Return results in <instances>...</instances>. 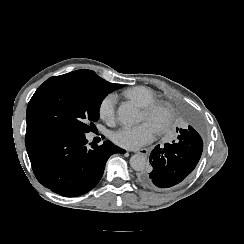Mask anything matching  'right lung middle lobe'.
<instances>
[{"label":"right lung middle lobe","mask_w":244,"mask_h":244,"mask_svg":"<svg viewBox=\"0 0 244 244\" xmlns=\"http://www.w3.org/2000/svg\"><path fill=\"white\" fill-rule=\"evenodd\" d=\"M119 84H110L91 70L51 77L34 93L27 107V128L43 127L85 134L99 119V107Z\"/></svg>","instance_id":"right-lung-middle-lobe-1"}]
</instances>
